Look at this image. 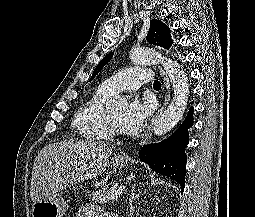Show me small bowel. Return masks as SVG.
<instances>
[{
  "label": "small bowel",
  "mask_w": 255,
  "mask_h": 217,
  "mask_svg": "<svg viewBox=\"0 0 255 217\" xmlns=\"http://www.w3.org/2000/svg\"><path fill=\"white\" fill-rule=\"evenodd\" d=\"M77 217H115V215L107 214L100 206L85 205L79 210Z\"/></svg>",
  "instance_id": "small-bowel-1"
}]
</instances>
